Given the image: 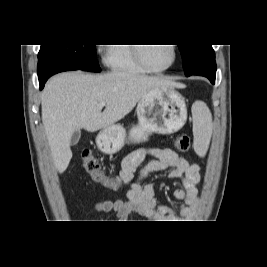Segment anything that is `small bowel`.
<instances>
[{"mask_svg":"<svg viewBox=\"0 0 267 267\" xmlns=\"http://www.w3.org/2000/svg\"><path fill=\"white\" fill-rule=\"evenodd\" d=\"M148 156L155 159L148 162L135 178L136 170ZM158 172L165 173L167 179H177L181 183V187L173 192L174 199L180 202L176 210L157 201L155 183L142 184L148 176ZM118 177H121L126 199L99 201L93 207L95 211L113 212L120 222H126L133 212L155 221L167 222L191 220L197 212V185L200 182L201 169L169 147L140 148L131 152L124 158Z\"/></svg>","mask_w":267,"mask_h":267,"instance_id":"small-bowel-1","label":"small bowel"}]
</instances>
